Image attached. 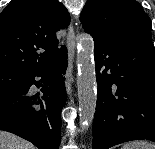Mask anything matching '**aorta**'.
Returning a JSON list of instances; mask_svg holds the SVG:
<instances>
[{
	"label": "aorta",
	"instance_id": "aorta-1",
	"mask_svg": "<svg viewBox=\"0 0 155 149\" xmlns=\"http://www.w3.org/2000/svg\"><path fill=\"white\" fill-rule=\"evenodd\" d=\"M76 61L78 65L79 121L83 132L87 131L93 122L97 101L94 41L90 35L81 36Z\"/></svg>",
	"mask_w": 155,
	"mask_h": 149
}]
</instances>
